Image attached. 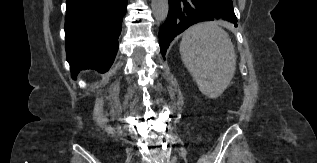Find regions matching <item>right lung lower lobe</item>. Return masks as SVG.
Listing matches in <instances>:
<instances>
[{"instance_id": "right-lung-lower-lobe-1", "label": "right lung lower lobe", "mask_w": 317, "mask_h": 163, "mask_svg": "<svg viewBox=\"0 0 317 163\" xmlns=\"http://www.w3.org/2000/svg\"><path fill=\"white\" fill-rule=\"evenodd\" d=\"M126 6L127 0H67L65 48L73 79L83 69L111 67Z\"/></svg>"}]
</instances>
